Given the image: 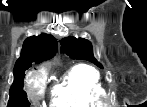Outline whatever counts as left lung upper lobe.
I'll return each mask as SVG.
<instances>
[{"label":"left lung upper lobe","instance_id":"1","mask_svg":"<svg viewBox=\"0 0 147 107\" xmlns=\"http://www.w3.org/2000/svg\"><path fill=\"white\" fill-rule=\"evenodd\" d=\"M62 50L72 59L88 60L103 68L93 55L92 44L84 38L66 37L61 40Z\"/></svg>","mask_w":147,"mask_h":107}]
</instances>
